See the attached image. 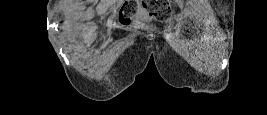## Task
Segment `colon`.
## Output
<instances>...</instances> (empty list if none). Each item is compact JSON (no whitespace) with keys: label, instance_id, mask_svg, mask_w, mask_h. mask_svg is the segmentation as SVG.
I'll return each mask as SVG.
<instances>
[{"label":"colon","instance_id":"colon-1","mask_svg":"<svg viewBox=\"0 0 267 115\" xmlns=\"http://www.w3.org/2000/svg\"><path fill=\"white\" fill-rule=\"evenodd\" d=\"M146 10L157 21H167L171 16L169 0H130L125 2L119 11V22L123 25L140 24V9Z\"/></svg>","mask_w":267,"mask_h":115}]
</instances>
